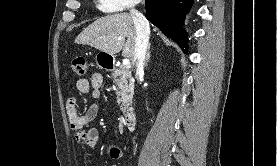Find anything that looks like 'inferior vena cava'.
Here are the masks:
<instances>
[{
	"label": "inferior vena cava",
	"instance_id": "1",
	"mask_svg": "<svg viewBox=\"0 0 277 166\" xmlns=\"http://www.w3.org/2000/svg\"><path fill=\"white\" fill-rule=\"evenodd\" d=\"M140 2V0H133L130 9V15L133 18V22L136 28V40H135V63L136 74L140 75L144 72V65L146 59V52L149 44L150 26L148 20L138 12L134 7Z\"/></svg>",
	"mask_w": 277,
	"mask_h": 166
}]
</instances>
